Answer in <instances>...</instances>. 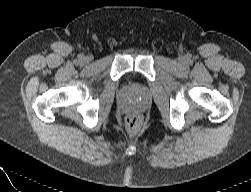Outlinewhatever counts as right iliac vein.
Segmentation results:
<instances>
[{
  "label": "right iliac vein",
  "instance_id": "obj_1",
  "mask_svg": "<svg viewBox=\"0 0 251 192\" xmlns=\"http://www.w3.org/2000/svg\"><path fill=\"white\" fill-rule=\"evenodd\" d=\"M89 61H90V59H89L88 57H84V58H83V62H84V63H88Z\"/></svg>",
  "mask_w": 251,
  "mask_h": 192
}]
</instances>
